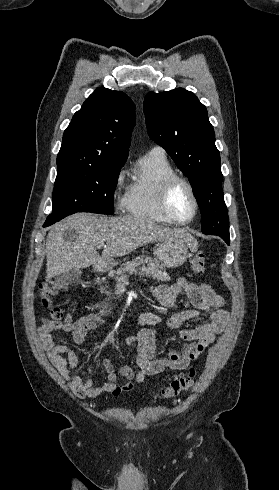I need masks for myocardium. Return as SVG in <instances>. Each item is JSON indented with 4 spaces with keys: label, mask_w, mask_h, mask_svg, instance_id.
I'll return each instance as SVG.
<instances>
[{
    "label": "myocardium",
    "mask_w": 279,
    "mask_h": 490,
    "mask_svg": "<svg viewBox=\"0 0 279 490\" xmlns=\"http://www.w3.org/2000/svg\"><path fill=\"white\" fill-rule=\"evenodd\" d=\"M185 185L192 197L193 200V212L192 215L187 220H179L173 213L172 210V198L176 190L180 185ZM161 209L164 215L173 223L178 225H186L191 223L195 217L197 216L199 210V200L196 192V188L191 180L187 177L179 174H174L169 176L163 185L162 193H161Z\"/></svg>",
    "instance_id": "myocardium-1"
}]
</instances>
